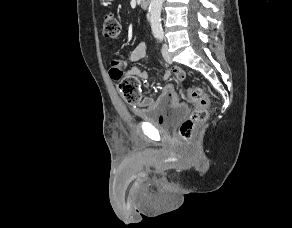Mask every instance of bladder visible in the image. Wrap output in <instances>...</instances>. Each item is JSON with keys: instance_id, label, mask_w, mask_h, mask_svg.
I'll use <instances>...</instances> for the list:
<instances>
[{"instance_id": "31cf9c89", "label": "bladder", "mask_w": 292, "mask_h": 228, "mask_svg": "<svg viewBox=\"0 0 292 228\" xmlns=\"http://www.w3.org/2000/svg\"><path fill=\"white\" fill-rule=\"evenodd\" d=\"M189 108L186 104H177L162 114L146 115L142 121L149 123L157 128L168 130L176 125L188 114Z\"/></svg>"}]
</instances>
